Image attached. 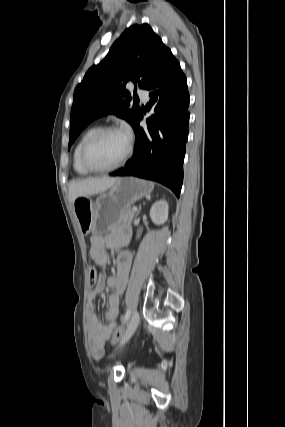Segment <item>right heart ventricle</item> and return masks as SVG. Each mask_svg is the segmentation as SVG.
Returning a JSON list of instances; mask_svg holds the SVG:
<instances>
[{"label":"right heart ventricle","instance_id":"right-heart-ventricle-1","mask_svg":"<svg viewBox=\"0 0 285 427\" xmlns=\"http://www.w3.org/2000/svg\"><path fill=\"white\" fill-rule=\"evenodd\" d=\"M99 129L98 126H92L90 128H88L86 131H84V133L81 135V137L79 138L78 142L76 143L75 147H74V151H73V167L74 170L80 174V175H89L91 173V171H89L88 169H86L82 163H81V159H80V153H81V149L83 144L85 143V141L97 130Z\"/></svg>","mask_w":285,"mask_h":427}]
</instances>
